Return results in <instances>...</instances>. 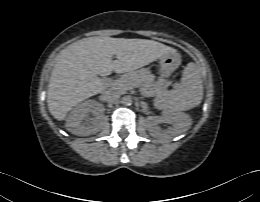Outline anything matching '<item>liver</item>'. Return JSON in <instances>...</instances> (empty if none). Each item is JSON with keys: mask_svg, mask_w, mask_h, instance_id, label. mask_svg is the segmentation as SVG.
<instances>
[{"mask_svg": "<svg viewBox=\"0 0 260 202\" xmlns=\"http://www.w3.org/2000/svg\"><path fill=\"white\" fill-rule=\"evenodd\" d=\"M168 53L175 50L147 39L90 37L74 42L61 51L53 68L48 109L55 119L63 120L75 105L105 89L96 74L129 72ZM113 55L116 60H112Z\"/></svg>", "mask_w": 260, "mask_h": 202, "instance_id": "6515ba94", "label": "liver"}]
</instances>
